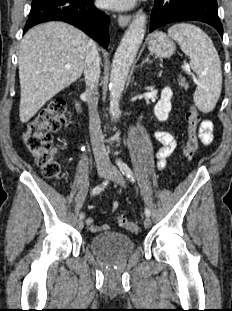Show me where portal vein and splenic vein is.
<instances>
[{
	"instance_id": "18ae733b",
	"label": "portal vein and splenic vein",
	"mask_w": 232,
	"mask_h": 311,
	"mask_svg": "<svg viewBox=\"0 0 232 311\" xmlns=\"http://www.w3.org/2000/svg\"><path fill=\"white\" fill-rule=\"evenodd\" d=\"M65 69H70V66L69 65H66L65 66ZM195 80V78H193Z\"/></svg>"
}]
</instances>
